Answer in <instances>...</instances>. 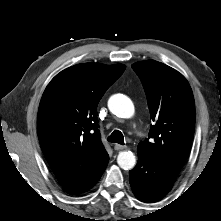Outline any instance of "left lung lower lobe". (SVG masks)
<instances>
[{"mask_svg": "<svg viewBox=\"0 0 221 221\" xmlns=\"http://www.w3.org/2000/svg\"><path fill=\"white\" fill-rule=\"evenodd\" d=\"M129 173L133 193L142 202L149 203L158 201L171 190L179 171L138 153V163Z\"/></svg>", "mask_w": 221, "mask_h": 221, "instance_id": "obj_1", "label": "left lung lower lobe"}]
</instances>
